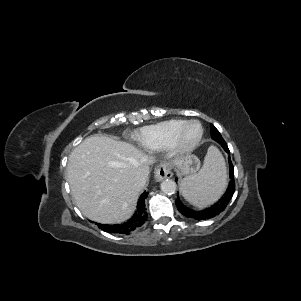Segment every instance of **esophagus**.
Returning <instances> with one entry per match:
<instances>
[{"mask_svg":"<svg viewBox=\"0 0 301 301\" xmlns=\"http://www.w3.org/2000/svg\"><path fill=\"white\" fill-rule=\"evenodd\" d=\"M173 173L168 163L161 162L155 169V179L157 181H162L165 178H171Z\"/></svg>","mask_w":301,"mask_h":301,"instance_id":"1","label":"esophagus"}]
</instances>
